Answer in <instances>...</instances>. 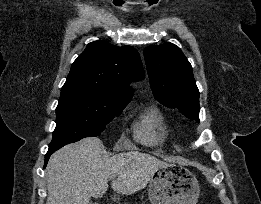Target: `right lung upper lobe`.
Listing matches in <instances>:
<instances>
[{
	"mask_svg": "<svg viewBox=\"0 0 261 204\" xmlns=\"http://www.w3.org/2000/svg\"><path fill=\"white\" fill-rule=\"evenodd\" d=\"M143 77L142 62L136 49L94 41L72 64L61 96L90 93L105 102H129L133 96L129 83Z\"/></svg>",
	"mask_w": 261,
	"mask_h": 204,
	"instance_id": "1",
	"label": "right lung upper lobe"
}]
</instances>
